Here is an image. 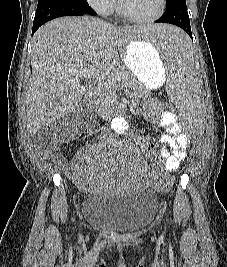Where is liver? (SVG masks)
Here are the masks:
<instances>
[{"label": "liver", "instance_id": "liver-1", "mask_svg": "<svg viewBox=\"0 0 227 267\" xmlns=\"http://www.w3.org/2000/svg\"><path fill=\"white\" fill-rule=\"evenodd\" d=\"M131 33L139 30L88 16L62 17L41 26L32 40V75L25 95L28 132L36 134L80 102L86 86L69 71L115 69L119 65L117 49L135 39Z\"/></svg>", "mask_w": 227, "mask_h": 267}]
</instances>
